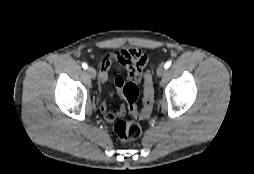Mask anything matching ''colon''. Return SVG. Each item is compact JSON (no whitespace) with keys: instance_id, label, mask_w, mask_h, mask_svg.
I'll use <instances>...</instances> for the list:
<instances>
[{"instance_id":"1","label":"colon","mask_w":254,"mask_h":174,"mask_svg":"<svg viewBox=\"0 0 254 174\" xmlns=\"http://www.w3.org/2000/svg\"><path fill=\"white\" fill-rule=\"evenodd\" d=\"M121 94L127 102V108L129 112L138 119L148 118L153 109L154 91L152 85L151 75L145 76V91L143 98V108L138 110L137 99L139 95L138 86L135 82L129 81L123 84L121 88ZM124 109L119 110V114L122 115ZM114 132L122 142H128L137 139L141 134V127L138 123L120 118L114 124Z\"/></svg>"}]
</instances>
